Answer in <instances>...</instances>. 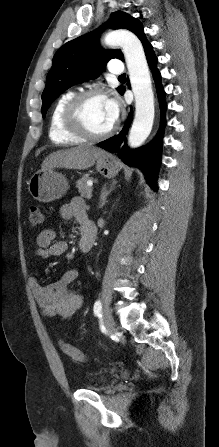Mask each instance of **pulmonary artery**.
<instances>
[{
	"instance_id": "obj_1",
	"label": "pulmonary artery",
	"mask_w": 219,
	"mask_h": 447,
	"mask_svg": "<svg viewBox=\"0 0 219 447\" xmlns=\"http://www.w3.org/2000/svg\"><path fill=\"white\" fill-rule=\"evenodd\" d=\"M124 67L120 60L113 59L109 62V72L112 75H121L123 73Z\"/></svg>"
}]
</instances>
